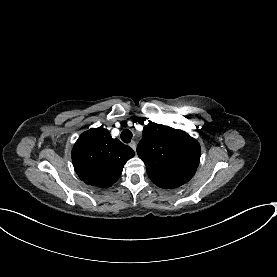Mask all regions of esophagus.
<instances>
[{"instance_id":"1","label":"esophagus","mask_w":277,"mask_h":277,"mask_svg":"<svg viewBox=\"0 0 277 277\" xmlns=\"http://www.w3.org/2000/svg\"><path fill=\"white\" fill-rule=\"evenodd\" d=\"M129 146H130L134 151H136V142H135V141H131V142L129 143Z\"/></svg>"}]
</instances>
